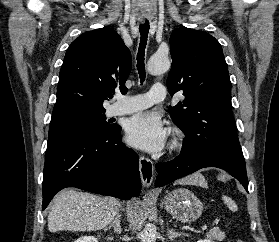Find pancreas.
Returning <instances> with one entry per match:
<instances>
[{"instance_id":"1","label":"pancreas","mask_w":279,"mask_h":242,"mask_svg":"<svg viewBox=\"0 0 279 242\" xmlns=\"http://www.w3.org/2000/svg\"><path fill=\"white\" fill-rule=\"evenodd\" d=\"M207 238L221 241L225 238V234L220 229L214 228L208 232Z\"/></svg>"}]
</instances>
